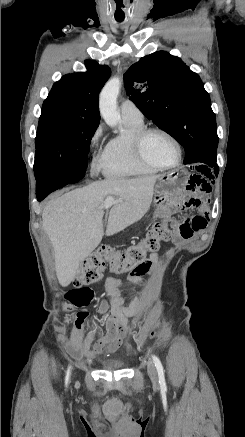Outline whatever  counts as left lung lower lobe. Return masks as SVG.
Masks as SVG:
<instances>
[{
    "label": "left lung lower lobe",
    "mask_w": 245,
    "mask_h": 437,
    "mask_svg": "<svg viewBox=\"0 0 245 437\" xmlns=\"http://www.w3.org/2000/svg\"><path fill=\"white\" fill-rule=\"evenodd\" d=\"M212 167H214L216 169L218 166H217V164H213Z\"/></svg>",
    "instance_id": "1"
}]
</instances>
